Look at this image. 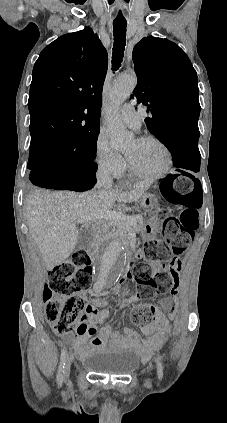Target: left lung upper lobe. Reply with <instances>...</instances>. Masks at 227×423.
I'll use <instances>...</instances> for the list:
<instances>
[{"mask_svg":"<svg viewBox=\"0 0 227 423\" xmlns=\"http://www.w3.org/2000/svg\"><path fill=\"white\" fill-rule=\"evenodd\" d=\"M132 56L138 82L131 97L152 114L145 119L150 132L163 140L199 131L198 79L186 53L167 39L149 36Z\"/></svg>","mask_w":227,"mask_h":423,"instance_id":"obj_1","label":"left lung upper lobe"}]
</instances>
